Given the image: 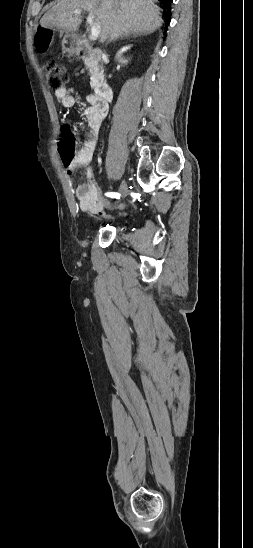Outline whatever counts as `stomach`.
I'll use <instances>...</instances> for the list:
<instances>
[{
  "label": "stomach",
  "mask_w": 253,
  "mask_h": 548,
  "mask_svg": "<svg viewBox=\"0 0 253 548\" xmlns=\"http://www.w3.org/2000/svg\"><path fill=\"white\" fill-rule=\"evenodd\" d=\"M71 39L70 35H66L62 42V48L67 53L74 54L77 51V45L76 43H72Z\"/></svg>",
  "instance_id": "obj_1"
}]
</instances>
